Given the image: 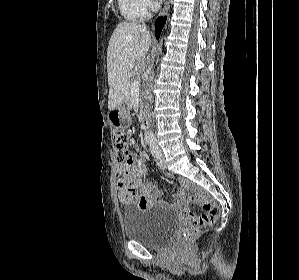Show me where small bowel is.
Wrapping results in <instances>:
<instances>
[{
  "instance_id": "c3829d8e",
  "label": "small bowel",
  "mask_w": 299,
  "mask_h": 280,
  "mask_svg": "<svg viewBox=\"0 0 299 280\" xmlns=\"http://www.w3.org/2000/svg\"><path fill=\"white\" fill-rule=\"evenodd\" d=\"M118 172V198L125 205L135 204L138 208L168 205L176 211H183L188 203L189 188L188 182L184 178H179L181 189L170 203L160 200V189L144 180L146 167L142 159L133 156L132 164L124 169L119 168Z\"/></svg>"
}]
</instances>
